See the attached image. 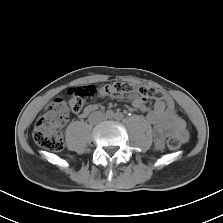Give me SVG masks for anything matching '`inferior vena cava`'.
I'll return each mask as SVG.
<instances>
[{
  "instance_id": "1",
  "label": "inferior vena cava",
  "mask_w": 223,
  "mask_h": 223,
  "mask_svg": "<svg viewBox=\"0 0 223 223\" xmlns=\"http://www.w3.org/2000/svg\"><path fill=\"white\" fill-rule=\"evenodd\" d=\"M95 118L102 120L104 118V114L100 113V112H95V113L91 114L90 120L93 121Z\"/></svg>"
}]
</instances>
